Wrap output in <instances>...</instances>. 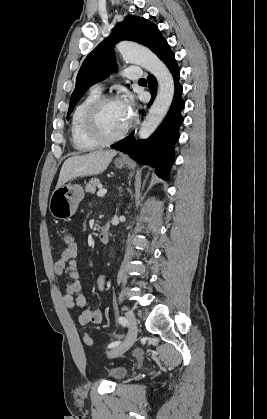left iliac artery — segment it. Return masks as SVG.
<instances>
[{
    "instance_id": "obj_1",
    "label": "left iliac artery",
    "mask_w": 267,
    "mask_h": 419,
    "mask_svg": "<svg viewBox=\"0 0 267 419\" xmlns=\"http://www.w3.org/2000/svg\"><path fill=\"white\" fill-rule=\"evenodd\" d=\"M118 321H119V323L122 325V326H127V320H126V318L125 317H123V316H120L119 318H118ZM120 344V341H115V342H112V343H110L109 345H108V348H114V347H116L117 345H119Z\"/></svg>"
}]
</instances>
